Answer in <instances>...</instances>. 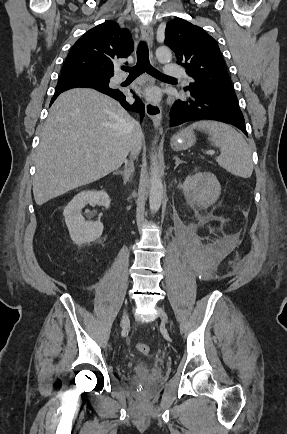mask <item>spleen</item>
Here are the masks:
<instances>
[{
	"label": "spleen",
	"mask_w": 287,
	"mask_h": 434,
	"mask_svg": "<svg viewBox=\"0 0 287 434\" xmlns=\"http://www.w3.org/2000/svg\"><path fill=\"white\" fill-rule=\"evenodd\" d=\"M198 129L208 134L211 145L221 149L216 162L231 174L249 178L253 172L251 152L243 135L225 123L202 120L193 123L186 130Z\"/></svg>",
	"instance_id": "1"
}]
</instances>
